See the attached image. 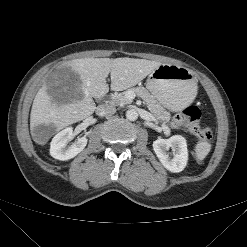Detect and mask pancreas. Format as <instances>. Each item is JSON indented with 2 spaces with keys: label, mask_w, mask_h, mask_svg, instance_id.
Here are the masks:
<instances>
[{
  "label": "pancreas",
  "mask_w": 247,
  "mask_h": 247,
  "mask_svg": "<svg viewBox=\"0 0 247 247\" xmlns=\"http://www.w3.org/2000/svg\"><path fill=\"white\" fill-rule=\"evenodd\" d=\"M132 93L135 96L140 97L146 103L150 112L160 121H164L169 124L172 129H178V126L170 121L171 115L166 111L159 102L154 98L153 95L144 87H135L128 89L127 91L115 94L112 96L111 103L116 106H122L131 103L132 101L127 98L128 93Z\"/></svg>",
  "instance_id": "cf45deb5"
}]
</instances>
